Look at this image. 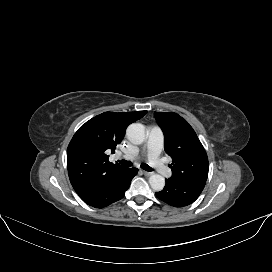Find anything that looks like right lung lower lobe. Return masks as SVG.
I'll use <instances>...</instances> for the list:
<instances>
[{
	"label": "right lung lower lobe",
	"instance_id": "1",
	"mask_svg": "<svg viewBox=\"0 0 272 272\" xmlns=\"http://www.w3.org/2000/svg\"><path fill=\"white\" fill-rule=\"evenodd\" d=\"M137 172V168L119 169L87 192L79 194V196L92 207H106L124 197L125 191L129 188L131 180Z\"/></svg>",
	"mask_w": 272,
	"mask_h": 272
}]
</instances>
